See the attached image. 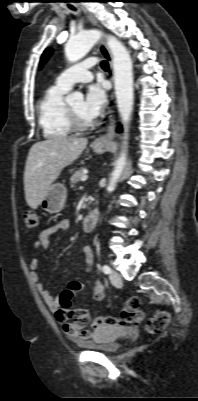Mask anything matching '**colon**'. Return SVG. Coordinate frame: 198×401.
I'll return each mask as SVG.
<instances>
[{
	"label": "colon",
	"instance_id": "colon-1",
	"mask_svg": "<svg viewBox=\"0 0 198 401\" xmlns=\"http://www.w3.org/2000/svg\"><path fill=\"white\" fill-rule=\"evenodd\" d=\"M24 225L29 229H35L39 226L38 215L31 210H24L22 212ZM77 285L72 282L69 287L62 292L60 297V303L64 310L70 312L73 315L78 316V321L81 326H85L89 323V316L83 309H74L71 305V299L75 294ZM141 301L137 296L129 297L123 308L120 317L112 316H101L97 317L95 321L102 326H122L125 324L139 323L144 319V313L140 309ZM169 322V314L165 311L156 312L147 322V330L151 333L161 332Z\"/></svg>",
	"mask_w": 198,
	"mask_h": 401
}]
</instances>
